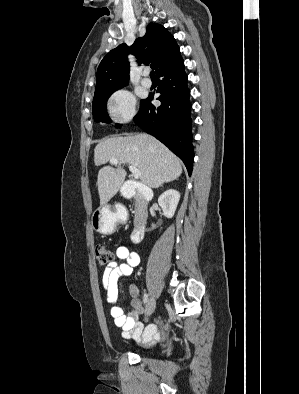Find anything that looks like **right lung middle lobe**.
I'll list each match as a JSON object with an SVG mask.
<instances>
[{"label": "right lung middle lobe", "mask_w": 299, "mask_h": 394, "mask_svg": "<svg viewBox=\"0 0 299 394\" xmlns=\"http://www.w3.org/2000/svg\"><path fill=\"white\" fill-rule=\"evenodd\" d=\"M122 88V87H120ZM120 88H115V89H110V90H102L99 92H95L94 98H93V104H92V111H93V116L95 121H102L109 123L110 118L107 114L106 110V105H107V99L110 97V95L115 92L116 90ZM142 102V101H141ZM116 127L119 128L121 127L120 124H116Z\"/></svg>", "instance_id": "right-lung-middle-lobe-1"}]
</instances>
